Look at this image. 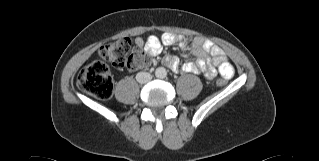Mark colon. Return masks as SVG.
Here are the masks:
<instances>
[{
    "label": "colon",
    "mask_w": 319,
    "mask_h": 161,
    "mask_svg": "<svg viewBox=\"0 0 319 161\" xmlns=\"http://www.w3.org/2000/svg\"><path fill=\"white\" fill-rule=\"evenodd\" d=\"M100 55L120 69L138 70L148 66L151 61L143 47L133 45L129 38H119L104 44ZM219 85L224 79L217 81ZM78 86L84 92L101 99L113 94V78L109 68L100 61L86 65L79 73Z\"/></svg>",
    "instance_id": "1"
}]
</instances>
